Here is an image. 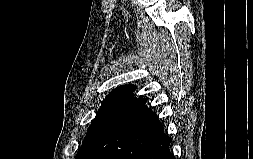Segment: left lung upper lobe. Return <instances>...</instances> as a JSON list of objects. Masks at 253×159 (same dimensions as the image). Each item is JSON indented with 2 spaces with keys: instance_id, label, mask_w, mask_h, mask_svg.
Instances as JSON below:
<instances>
[{
  "instance_id": "obj_1",
  "label": "left lung upper lobe",
  "mask_w": 253,
  "mask_h": 159,
  "mask_svg": "<svg viewBox=\"0 0 253 159\" xmlns=\"http://www.w3.org/2000/svg\"><path fill=\"white\" fill-rule=\"evenodd\" d=\"M134 90L135 86L133 85L120 86L110 92L105 100H103L102 106L92 121L82 146L76 155V159H85L90 148L108 123L126 106L136 100L132 95Z\"/></svg>"
}]
</instances>
